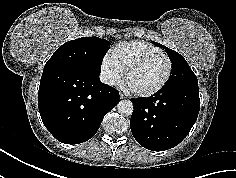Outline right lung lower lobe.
I'll list each match as a JSON object with an SVG mask.
<instances>
[{"instance_id": "obj_1", "label": "right lung lower lobe", "mask_w": 236, "mask_h": 178, "mask_svg": "<svg viewBox=\"0 0 236 178\" xmlns=\"http://www.w3.org/2000/svg\"><path fill=\"white\" fill-rule=\"evenodd\" d=\"M119 100L118 91L88 68L61 65L43 70L38 91L40 116L62 143L78 144L92 138Z\"/></svg>"}]
</instances>
